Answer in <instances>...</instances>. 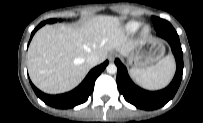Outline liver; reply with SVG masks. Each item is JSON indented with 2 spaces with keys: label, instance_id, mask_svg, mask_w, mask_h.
Returning <instances> with one entry per match:
<instances>
[{
  "label": "liver",
  "instance_id": "liver-1",
  "mask_svg": "<svg viewBox=\"0 0 203 123\" xmlns=\"http://www.w3.org/2000/svg\"><path fill=\"white\" fill-rule=\"evenodd\" d=\"M125 33L118 17L99 15L79 26L46 25L28 49V71L34 85L48 94L75 88L92 68L94 54L103 62L110 51L127 56L139 43Z\"/></svg>",
  "mask_w": 203,
  "mask_h": 123
}]
</instances>
